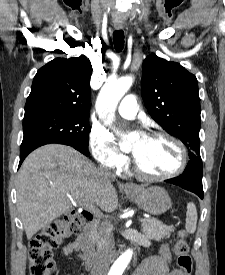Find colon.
<instances>
[{
  "instance_id": "5ec220e1",
  "label": "colon",
  "mask_w": 225,
  "mask_h": 275,
  "mask_svg": "<svg viewBox=\"0 0 225 275\" xmlns=\"http://www.w3.org/2000/svg\"><path fill=\"white\" fill-rule=\"evenodd\" d=\"M92 218L86 210L72 211L63 218L46 225L31 241L29 248L30 275H50L55 267V253L62 241L80 229ZM187 232L178 233L174 252L183 275H191L193 262L189 254Z\"/></svg>"
}]
</instances>
